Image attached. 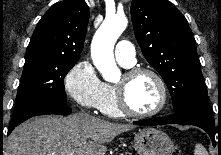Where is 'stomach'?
<instances>
[{
    "instance_id": "0dacf381",
    "label": "stomach",
    "mask_w": 221,
    "mask_h": 155,
    "mask_svg": "<svg viewBox=\"0 0 221 155\" xmlns=\"http://www.w3.org/2000/svg\"><path fill=\"white\" fill-rule=\"evenodd\" d=\"M134 147L138 155H173L174 144L167 134L144 128L135 133Z\"/></svg>"
}]
</instances>
